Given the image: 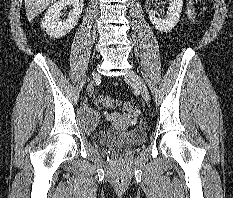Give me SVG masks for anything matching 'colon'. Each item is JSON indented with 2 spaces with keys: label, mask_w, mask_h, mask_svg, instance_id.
<instances>
[{
  "label": "colon",
  "mask_w": 233,
  "mask_h": 198,
  "mask_svg": "<svg viewBox=\"0 0 233 198\" xmlns=\"http://www.w3.org/2000/svg\"><path fill=\"white\" fill-rule=\"evenodd\" d=\"M97 102L101 106L107 107V108H113V107L122 105V110H123L124 114L129 116V117L136 116V114L138 112V109H137L135 104H133L131 102L121 103L119 100H115V99H113L109 96H106V95L98 96Z\"/></svg>",
  "instance_id": "obj_1"
}]
</instances>
